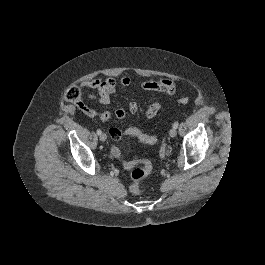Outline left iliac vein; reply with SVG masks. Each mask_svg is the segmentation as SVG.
Wrapping results in <instances>:
<instances>
[{
	"mask_svg": "<svg viewBox=\"0 0 265 265\" xmlns=\"http://www.w3.org/2000/svg\"><path fill=\"white\" fill-rule=\"evenodd\" d=\"M169 135L170 137H176L177 135V131L175 128H171L170 131H169Z\"/></svg>",
	"mask_w": 265,
	"mask_h": 265,
	"instance_id": "left-iliac-vein-1",
	"label": "left iliac vein"
}]
</instances>
